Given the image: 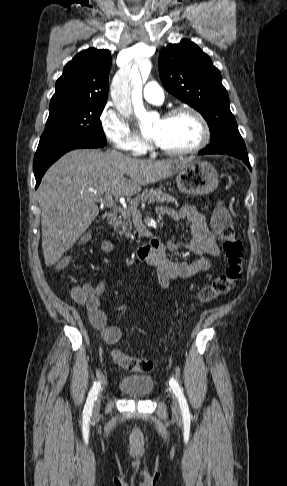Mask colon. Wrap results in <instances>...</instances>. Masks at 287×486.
I'll return each mask as SVG.
<instances>
[{
  "mask_svg": "<svg viewBox=\"0 0 287 486\" xmlns=\"http://www.w3.org/2000/svg\"><path fill=\"white\" fill-rule=\"evenodd\" d=\"M212 229L222 242L226 259L224 272L215 276L213 280L204 286L198 294V302L209 303L227 293L235 283L240 280L244 270V255L242 243L236 236L232 218L226 208L218 206L212 215ZM69 263L68 259H61L57 267L65 268ZM73 299L80 304H85L86 295L81 287L72 291ZM113 360L123 369L132 372H149L153 368V361L147 358L131 357L119 350L112 353Z\"/></svg>",
  "mask_w": 287,
  "mask_h": 486,
  "instance_id": "colon-1",
  "label": "colon"
}]
</instances>
